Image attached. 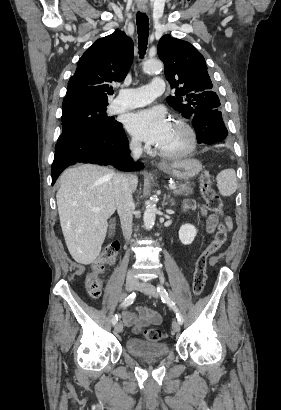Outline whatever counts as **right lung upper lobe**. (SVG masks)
<instances>
[{
    "label": "right lung upper lobe",
    "mask_w": 281,
    "mask_h": 410,
    "mask_svg": "<svg viewBox=\"0 0 281 410\" xmlns=\"http://www.w3.org/2000/svg\"><path fill=\"white\" fill-rule=\"evenodd\" d=\"M133 61V42L120 30L98 39L84 52L69 80L63 106L76 103L108 105L114 82H121Z\"/></svg>",
    "instance_id": "obj_1"
}]
</instances>
